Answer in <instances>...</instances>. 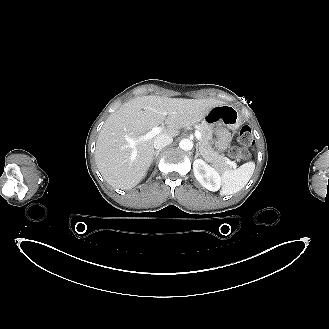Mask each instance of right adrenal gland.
<instances>
[{
	"label": "right adrenal gland",
	"mask_w": 329,
	"mask_h": 329,
	"mask_svg": "<svg viewBox=\"0 0 329 329\" xmlns=\"http://www.w3.org/2000/svg\"><path fill=\"white\" fill-rule=\"evenodd\" d=\"M160 151H161V150H157V151H155V153H154V157H153L154 160L157 158V156L159 155Z\"/></svg>",
	"instance_id": "1"
}]
</instances>
